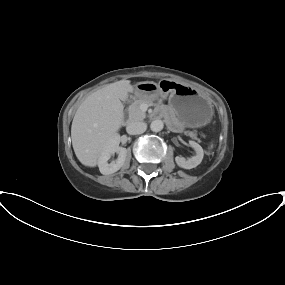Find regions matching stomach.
<instances>
[{
  "label": "stomach",
  "mask_w": 285,
  "mask_h": 285,
  "mask_svg": "<svg viewBox=\"0 0 285 285\" xmlns=\"http://www.w3.org/2000/svg\"><path fill=\"white\" fill-rule=\"evenodd\" d=\"M135 96L148 100L168 97L169 105L176 117L188 127L206 125L213 116L210 101L195 89L169 79L154 82H140L136 85Z\"/></svg>",
  "instance_id": "1"
}]
</instances>
